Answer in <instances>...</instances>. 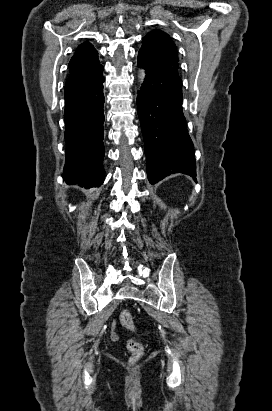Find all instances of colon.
Instances as JSON below:
<instances>
[{"instance_id": "1", "label": "colon", "mask_w": 272, "mask_h": 411, "mask_svg": "<svg viewBox=\"0 0 272 411\" xmlns=\"http://www.w3.org/2000/svg\"><path fill=\"white\" fill-rule=\"evenodd\" d=\"M120 322L122 326L128 330H134L135 328L133 317L131 313L128 311H123L120 314ZM127 348L131 353V356L129 358V364L135 365L143 356L144 348L140 342L134 339H129L127 341Z\"/></svg>"}]
</instances>
